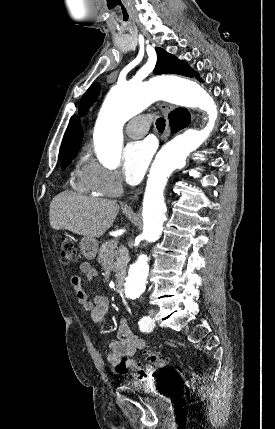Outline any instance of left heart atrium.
<instances>
[{"instance_id":"left-heart-atrium-1","label":"left heart atrium","mask_w":275,"mask_h":429,"mask_svg":"<svg viewBox=\"0 0 275 429\" xmlns=\"http://www.w3.org/2000/svg\"><path fill=\"white\" fill-rule=\"evenodd\" d=\"M155 146L150 140L135 141L128 144L123 152V173L131 185L138 184L143 178Z\"/></svg>"}]
</instances>
